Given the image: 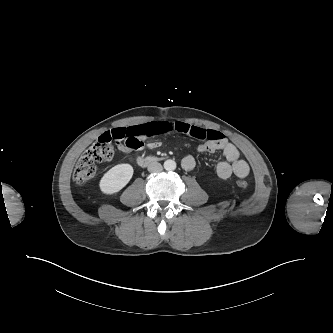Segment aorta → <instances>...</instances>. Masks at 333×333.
<instances>
[{"label":"aorta","instance_id":"obj_1","mask_svg":"<svg viewBox=\"0 0 333 333\" xmlns=\"http://www.w3.org/2000/svg\"><path fill=\"white\" fill-rule=\"evenodd\" d=\"M164 168L167 171H173L176 169V162L172 159H168L164 162Z\"/></svg>","mask_w":333,"mask_h":333}]
</instances>
